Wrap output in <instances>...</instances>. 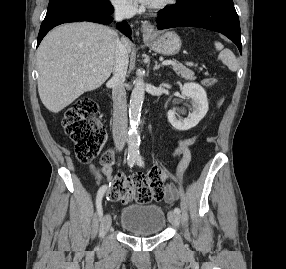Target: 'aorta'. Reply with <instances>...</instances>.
<instances>
[{
    "mask_svg": "<svg viewBox=\"0 0 286 269\" xmlns=\"http://www.w3.org/2000/svg\"><path fill=\"white\" fill-rule=\"evenodd\" d=\"M144 97V82L143 78L139 76L135 81L129 104V119L131 130L128 133V155L134 158L139 156L140 135L137 131V126L140 121Z\"/></svg>",
    "mask_w": 286,
    "mask_h": 269,
    "instance_id": "obj_1",
    "label": "aorta"
}]
</instances>
